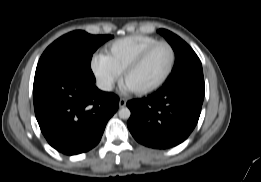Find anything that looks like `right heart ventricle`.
Returning <instances> with one entry per match:
<instances>
[{
    "label": "right heart ventricle",
    "instance_id": "right-heart-ventricle-1",
    "mask_svg": "<svg viewBox=\"0 0 261 182\" xmlns=\"http://www.w3.org/2000/svg\"><path fill=\"white\" fill-rule=\"evenodd\" d=\"M159 40L143 35H135L117 40L106 49V55L114 68L122 73L143 51Z\"/></svg>",
    "mask_w": 261,
    "mask_h": 182
}]
</instances>
